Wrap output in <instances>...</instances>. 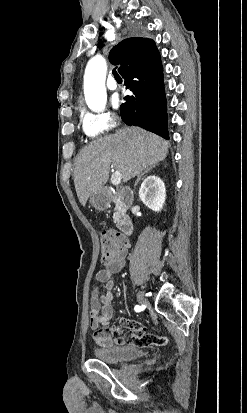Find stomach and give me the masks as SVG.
I'll return each instance as SVG.
<instances>
[{"label": "stomach", "instance_id": "obj_1", "mask_svg": "<svg viewBox=\"0 0 247 413\" xmlns=\"http://www.w3.org/2000/svg\"><path fill=\"white\" fill-rule=\"evenodd\" d=\"M89 200L94 209H97V211H104V209H107L108 204L111 202V194H109L108 190H104V188H102V190L92 192Z\"/></svg>", "mask_w": 247, "mask_h": 413}]
</instances>
